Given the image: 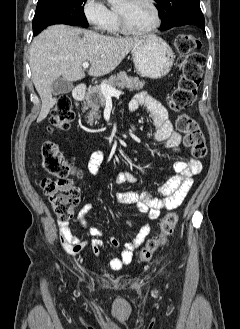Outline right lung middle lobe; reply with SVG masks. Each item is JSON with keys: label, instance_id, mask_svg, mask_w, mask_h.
Masks as SVG:
<instances>
[{"label": "right lung middle lobe", "instance_id": "obj_1", "mask_svg": "<svg viewBox=\"0 0 240 329\" xmlns=\"http://www.w3.org/2000/svg\"><path fill=\"white\" fill-rule=\"evenodd\" d=\"M86 0H38L33 31L44 25L68 24L88 27L84 15Z\"/></svg>", "mask_w": 240, "mask_h": 329}]
</instances>
